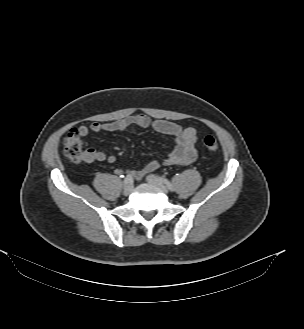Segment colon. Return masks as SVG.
<instances>
[{"instance_id":"5ec220e1","label":"colon","mask_w":304,"mask_h":329,"mask_svg":"<svg viewBox=\"0 0 304 329\" xmlns=\"http://www.w3.org/2000/svg\"><path fill=\"white\" fill-rule=\"evenodd\" d=\"M204 146L211 152L219 149L218 142L213 136H206L203 140ZM64 153L68 159L79 162L83 159V140L77 128H72L64 139Z\"/></svg>"}]
</instances>
